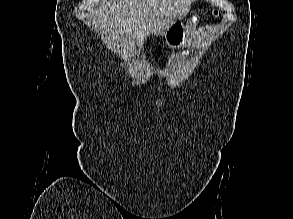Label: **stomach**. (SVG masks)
I'll return each mask as SVG.
<instances>
[{
  "label": "stomach",
  "mask_w": 293,
  "mask_h": 219,
  "mask_svg": "<svg viewBox=\"0 0 293 219\" xmlns=\"http://www.w3.org/2000/svg\"><path fill=\"white\" fill-rule=\"evenodd\" d=\"M199 23V15L193 14L184 25L181 20L175 21L165 32V42L170 47L181 48L186 46L188 38L195 31Z\"/></svg>",
  "instance_id": "0dacf381"
}]
</instances>
